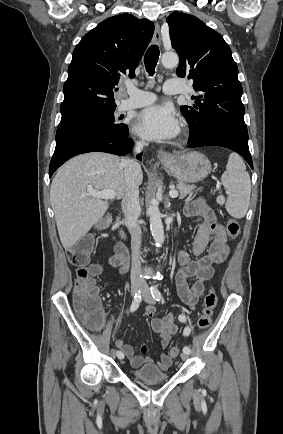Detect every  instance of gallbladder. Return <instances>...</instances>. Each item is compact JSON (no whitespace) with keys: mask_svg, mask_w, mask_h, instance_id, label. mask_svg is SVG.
<instances>
[{"mask_svg":"<svg viewBox=\"0 0 283 434\" xmlns=\"http://www.w3.org/2000/svg\"><path fill=\"white\" fill-rule=\"evenodd\" d=\"M109 225L108 219H102L96 223V227L99 229H104Z\"/></svg>","mask_w":283,"mask_h":434,"instance_id":"bac80fb5","label":"gallbladder"}]
</instances>
